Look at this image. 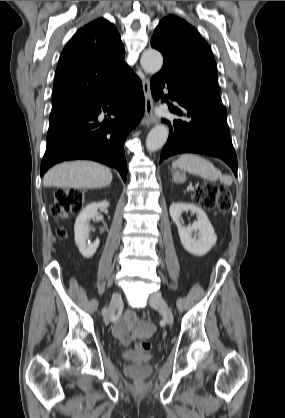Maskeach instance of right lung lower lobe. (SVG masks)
<instances>
[{
    "mask_svg": "<svg viewBox=\"0 0 285 418\" xmlns=\"http://www.w3.org/2000/svg\"><path fill=\"white\" fill-rule=\"evenodd\" d=\"M144 108L142 83L133 73L122 88L89 103L85 110L50 124L41 176L59 162L88 159L117 169L125 181L124 142L141 120ZM102 109L115 119L99 124L97 117Z\"/></svg>",
    "mask_w": 285,
    "mask_h": 418,
    "instance_id": "1",
    "label": "right lung lower lobe"
}]
</instances>
